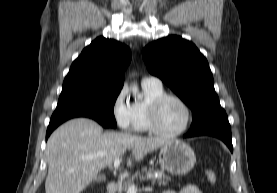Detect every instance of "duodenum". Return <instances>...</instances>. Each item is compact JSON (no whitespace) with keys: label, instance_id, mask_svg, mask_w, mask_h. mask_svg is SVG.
<instances>
[{"label":"duodenum","instance_id":"duodenum-1","mask_svg":"<svg viewBox=\"0 0 277 193\" xmlns=\"http://www.w3.org/2000/svg\"><path fill=\"white\" fill-rule=\"evenodd\" d=\"M118 191V184L115 181H111L107 185V193H117Z\"/></svg>","mask_w":277,"mask_h":193}]
</instances>
